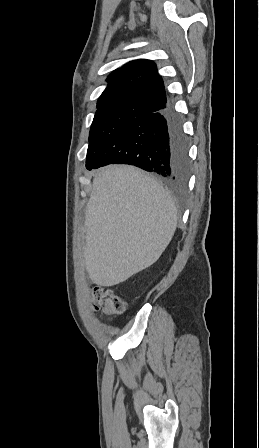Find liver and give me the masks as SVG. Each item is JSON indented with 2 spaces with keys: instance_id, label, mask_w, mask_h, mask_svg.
<instances>
[{
  "instance_id": "6515ba94",
  "label": "liver",
  "mask_w": 259,
  "mask_h": 448,
  "mask_svg": "<svg viewBox=\"0 0 259 448\" xmlns=\"http://www.w3.org/2000/svg\"><path fill=\"white\" fill-rule=\"evenodd\" d=\"M92 186L86 272L97 286H116L159 260L174 236L177 210L163 186L134 166H107Z\"/></svg>"
}]
</instances>
